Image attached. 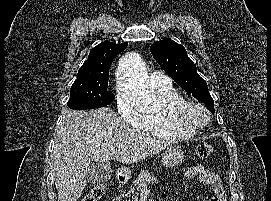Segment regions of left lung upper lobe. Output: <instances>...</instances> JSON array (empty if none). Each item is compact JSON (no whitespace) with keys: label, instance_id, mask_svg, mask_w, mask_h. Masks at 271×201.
Listing matches in <instances>:
<instances>
[{"label":"left lung upper lobe","instance_id":"1","mask_svg":"<svg viewBox=\"0 0 271 201\" xmlns=\"http://www.w3.org/2000/svg\"><path fill=\"white\" fill-rule=\"evenodd\" d=\"M150 51L162 67L184 90L204 103L214 114V101L207 83L198 73L185 48L171 39H163L151 45Z\"/></svg>","mask_w":271,"mask_h":201}]
</instances>
